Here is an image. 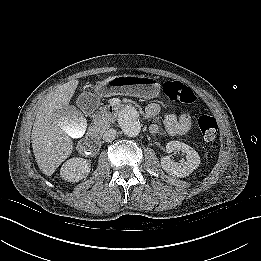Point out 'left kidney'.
<instances>
[{
	"instance_id": "1",
	"label": "left kidney",
	"mask_w": 261,
	"mask_h": 261,
	"mask_svg": "<svg viewBox=\"0 0 261 261\" xmlns=\"http://www.w3.org/2000/svg\"><path fill=\"white\" fill-rule=\"evenodd\" d=\"M168 153L181 151L186 153V161L174 162L170 155L161 158L163 170L174 177H186L191 174L200 164V156L189 145L180 141H170L166 145Z\"/></svg>"
}]
</instances>
